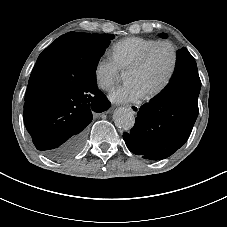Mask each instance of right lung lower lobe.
<instances>
[{
    "label": "right lung lower lobe",
    "mask_w": 227,
    "mask_h": 227,
    "mask_svg": "<svg viewBox=\"0 0 227 227\" xmlns=\"http://www.w3.org/2000/svg\"><path fill=\"white\" fill-rule=\"evenodd\" d=\"M110 107L97 85L66 90L51 84L25 100L24 123L35 147L51 160H65L84 145L95 112Z\"/></svg>",
    "instance_id": "1"
}]
</instances>
